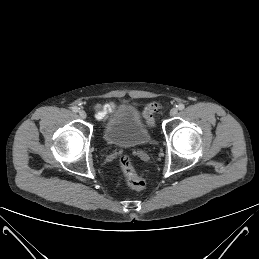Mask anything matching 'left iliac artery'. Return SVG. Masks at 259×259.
Segmentation results:
<instances>
[{
	"label": "left iliac artery",
	"mask_w": 259,
	"mask_h": 259,
	"mask_svg": "<svg viewBox=\"0 0 259 259\" xmlns=\"http://www.w3.org/2000/svg\"><path fill=\"white\" fill-rule=\"evenodd\" d=\"M177 108H178L179 110H183V109L185 108V106H184V104L180 103V104L177 106Z\"/></svg>",
	"instance_id": "44dca946"
}]
</instances>
